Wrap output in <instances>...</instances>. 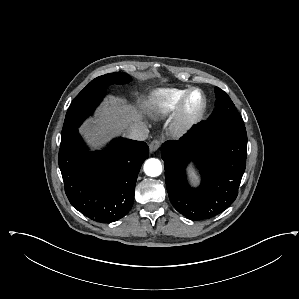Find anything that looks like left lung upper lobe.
I'll return each instance as SVG.
<instances>
[{
  "label": "left lung upper lobe",
  "mask_w": 299,
  "mask_h": 299,
  "mask_svg": "<svg viewBox=\"0 0 299 299\" xmlns=\"http://www.w3.org/2000/svg\"><path fill=\"white\" fill-rule=\"evenodd\" d=\"M216 102L215 109L208 120H224L243 123L235 105L226 92L215 87Z\"/></svg>",
  "instance_id": "left-lung-upper-lobe-1"
}]
</instances>
